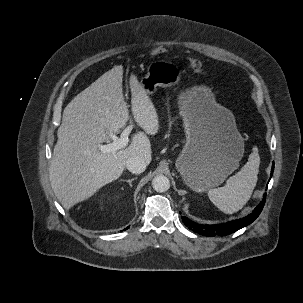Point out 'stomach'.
Instances as JSON below:
<instances>
[{
    "label": "stomach",
    "mask_w": 303,
    "mask_h": 303,
    "mask_svg": "<svg viewBox=\"0 0 303 303\" xmlns=\"http://www.w3.org/2000/svg\"><path fill=\"white\" fill-rule=\"evenodd\" d=\"M181 71L166 60L150 63L140 81L147 94L157 87L178 84ZM183 117L186 144L176 160V168L185 184L204 192L222 184L237 168L244 154V141L237 130L234 115L216 103L211 90L194 86L178 97Z\"/></svg>",
    "instance_id": "1"
}]
</instances>
